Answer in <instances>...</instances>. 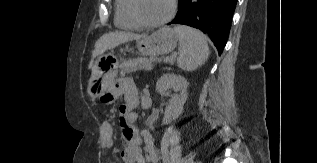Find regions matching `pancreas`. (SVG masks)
<instances>
[{"label":"pancreas","mask_w":317,"mask_h":163,"mask_svg":"<svg viewBox=\"0 0 317 163\" xmlns=\"http://www.w3.org/2000/svg\"><path fill=\"white\" fill-rule=\"evenodd\" d=\"M157 61L156 57L151 58H133V59H123L119 65L120 75L125 76L131 72H136L139 69H152V62Z\"/></svg>","instance_id":"1"}]
</instances>
